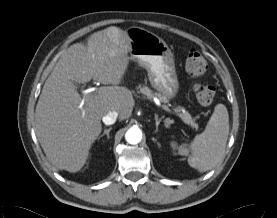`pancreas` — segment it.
Returning <instances> with one entry per match:
<instances>
[{
  "label": "pancreas",
  "mask_w": 277,
  "mask_h": 218,
  "mask_svg": "<svg viewBox=\"0 0 277 218\" xmlns=\"http://www.w3.org/2000/svg\"><path fill=\"white\" fill-rule=\"evenodd\" d=\"M140 93L146 95L148 98H151L153 96L159 98L160 101L163 102H168V99L165 98L164 96L160 95L159 93H154L150 88L146 87V86H139L138 87ZM178 112V115L180 116V118L183 120L184 123L190 125L191 127L197 129L198 128V124L195 123L194 119L191 117V115L188 112H182L183 108L182 107H177L175 109Z\"/></svg>",
  "instance_id": "pancreas-1"
}]
</instances>
